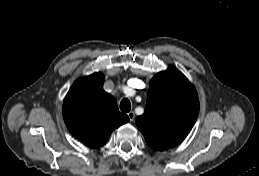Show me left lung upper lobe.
I'll return each mask as SVG.
<instances>
[{
	"label": "left lung upper lobe",
	"instance_id": "5c2ea615",
	"mask_svg": "<svg viewBox=\"0 0 259 176\" xmlns=\"http://www.w3.org/2000/svg\"><path fill=\"white\" fill-rule=\"evenodd\" d=\"M198 113L195 87L170 66L150 80L145 113L137 117L136 124L151 148L164 151L186 138Z\"/></svg>",
	"mask_w": 259,
	"mask_h": 176
}]
</instances>
